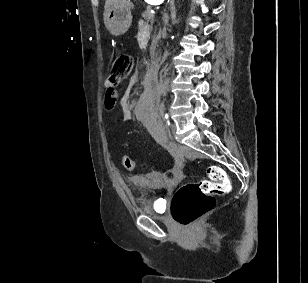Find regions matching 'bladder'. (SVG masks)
Segmentation results:
<instances>
[{
	"instance_id": "obj_1",
	"label": "bladder",
	"mask_w": 308,
	"mask_h": 283,
	"mask_svg": "<svg viewBox=\"0 0 308 283\" xmlns=\"http://www.w3.org/2000/svg\"><path fill=\"white\" fill-rule=\"evenodd\" d=\"M145 212L151 215L160 216L163 214V206L159 199L153 200L146 208Z\"/></svg>"
}]
</instances>
